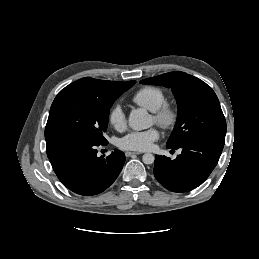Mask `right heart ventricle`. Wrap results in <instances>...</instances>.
<instances>
[{
  "label": "right heart ventricle",
  "instance_id": "obj_1",
  "mask_svg": "<svg viewBox=\"0 0 259 259\" xmlns=\"http://www.w3.org/2000/svg\"><path fill=\"white\" fill-rule=\"evenodd\" d=\"M132 101L143 108L155 111L165 102V93L158 87L145 86L133 95Z\"/></svg>",
  "mask_w": 259,
  "mask_h": 259
}]
</instances>
